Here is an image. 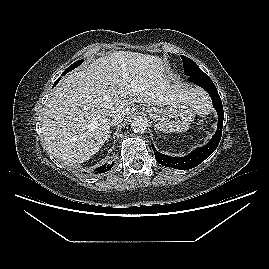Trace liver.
I'll return each mask as SVG.
<instances>
[{
  "label": "liver",
  "mask_w": 269,
  "mask_h": 269,
  "mask_svg": "<svg viewBox=\"0 0 269 269\" xmlns=\"http://www.w3.org/2000/svg\"><path fill=\"white\" fill-rule=\"evenodd\" d=\"M134 103H184L199 114L210 106L202 89L172 84L158 56L113 52L70 72L53 90L42 122L48 151L67 165L87 161L110 136L109 114L122 110L129 115Z\"/></svg>",
  "instance_id": "6515ba94"
}]
</instances>
